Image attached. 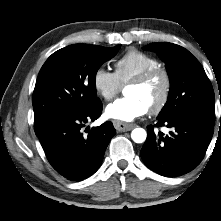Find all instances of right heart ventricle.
Instances as JSON below:
<instances>
[{"instance_id":"right-heart-ventricle-1","label":"right heart ventricle","mask_w":221,"mask_h":221,"mask_svg":"<svg viewBox=\"0 0 221 221\" xmlns=\"http://www.w3.org/2000/svg\"><path fill=\"white\" fill-rule=\"evenodd\" d=\"M160 65L156 57L137 49H130L115 61L114 73L124 86L144 71Z\"/></svg>"}]
</instances>
